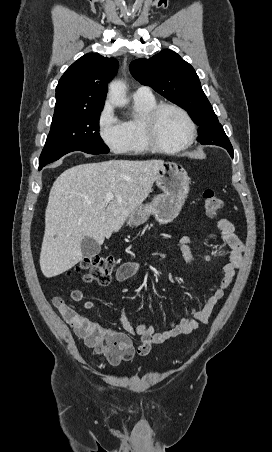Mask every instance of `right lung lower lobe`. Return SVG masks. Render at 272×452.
<instances>
[{"instance_id":"98d812e1","label":"right lung lower lobe","mask_w":272,"mask_h":452,"mask_svg":"<svg viewBox=\"0 0 272 452\" xmlns=\"http://www.w3.org/2000/svg\"><path fill=\"white\" fill-rule=\"evenodd\" d=\"M48 164H50V163H48ZM45 165H47V164H42V165H39V170H41V169H42V167H44Z\"/></svg>"}]
</instances>
